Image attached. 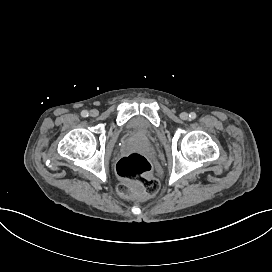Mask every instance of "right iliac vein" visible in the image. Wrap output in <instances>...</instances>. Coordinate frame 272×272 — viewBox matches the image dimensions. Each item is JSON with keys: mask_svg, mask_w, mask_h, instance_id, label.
I'll use <instances>...</instances> for the list:
<instances>
[{"mask_svg": "<svg viewBox=\"0 0 272 272\" xmlns=\"http://www.w3.org/2000/svg\"><path fill=\"white\" fill-rule=\"evenodd\" d=\"M98 113H99V112H98V110H96V109H93V110L90 111V115H91V116H94V117L97 116Z\"/></svg>", "mask_w": 272, "mask_h": 272, "instance_id": "right-iliac-vein-1", "label": "right iliac vein"}]
</instances>
